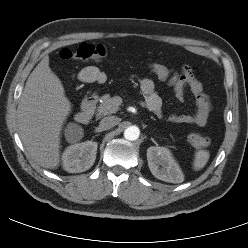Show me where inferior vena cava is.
<instances>
[{
    "label": "inferior vena cava",
    "instance_id": "1",
    "mask_svg": "<svg viewBox=\"0 0 248 248\" xmlns=\"http://www.w3.org/2000/svg\"><path fill=\"white\" fill-rule=\"evenodd\" d=\"M119 123V119L115 116H107L101 119L99 128L101 130H108Z\"/></svg>",
    "mask_w": 248,
    "mask_h": 248
}]
</instances>
